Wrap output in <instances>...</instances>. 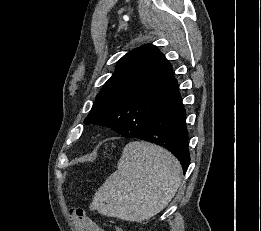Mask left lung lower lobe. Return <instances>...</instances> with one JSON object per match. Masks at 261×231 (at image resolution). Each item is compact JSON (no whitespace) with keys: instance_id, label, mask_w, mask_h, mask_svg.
<instances>
[{"instance_id":"1","label":"left lung lower lobe","mask_w":261,"mask_h":231,"mask_svg":"<svg viewBox=\"0 0 261 231\" xmlns=\"http://www.w3.org/2000/svg\"><path fill=\"white\" fill-rule=\"evenodd\" d=\"M186 112L180 95L160 111L140 134L123 135L149 141L169 150L181 163L184 173L190 163Z\"/></svg>"}]
</instances>
